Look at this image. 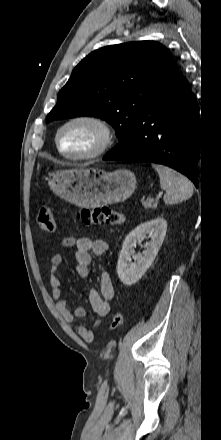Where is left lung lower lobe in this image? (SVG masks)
Segmentation results:
<instances>
[{
    "label": "left lung lower lobe",
    "mask_w": 221,
    "mask_h": 440,
    "mask_svg": "<svg viewBox=\"0 0 221 440\" xmlns=\"http://www.w3.org/2000/svg\"><path fill=\"white\" fill-rule=\"evenodd\" d=\"M199 107L189 84L177 73L142 112L128 146L103 160L153 162L186 175L197 187L196 154L201 148Z\"/></svg>",
    "instance_id": "0a47b994"
}]
</instances>
